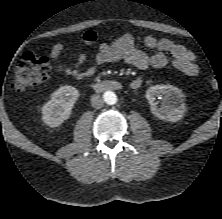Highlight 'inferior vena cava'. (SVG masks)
Here are the masks:
<instances>
[{"instance_id": "1", "label": "inferior vena cava", "mask_w": 222, "mask_h": 219, "mask_svg": "<svg viewBox=\"0 0 222 219\" xmlns=\"http://www.w3.org/2000/svg\"><path fill=\"white\" fill-rule=\"evenodd\" d=\"M91 104H92V107L93 108H96V109H100L103 107L104 105V101L103 99L100 97V95L98 94H95L91 97Z\"/></svg>"}]
</instances>
